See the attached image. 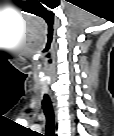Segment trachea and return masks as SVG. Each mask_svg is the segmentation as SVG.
Returning a JSON list of instances; mask_svg holds the SVG:
<instances>
[{
    "label": "trachea",
    "mask_w": 114,
    "mask_h": 136,
    "mask_svg": "<svg viewBox=\"0 0 114 136\" xmlns=\"http://www.w3.org/2000/svg\"><path fill=\"white\" fill-rule=\"evenodd\" d=\"M43 110L46 116L47 136H53L54 133V110L48 94H45L42 101Z\"/></svg>",
    "instance_id": "obj_1"
}]
</instances>
